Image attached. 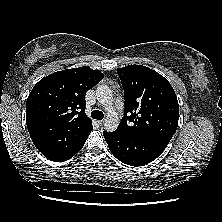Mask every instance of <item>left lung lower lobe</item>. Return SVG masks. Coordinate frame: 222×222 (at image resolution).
<instances>
[{
  "label": "left lung lower lobe",
  "mask_w": 222,
  "mask_h": 222,
  "mask_svg": "<svg viewBox=\"0 0 222 222\" xmlns=\"http://www.w3.org/2000/svg\"><path fill=\"white\" fill-rule=\"evenodd\" d=\"M111 153L130 166H143L155 160L170 140L156 137H133L117 131L103 132Z\"/></svg>",
  "instance_id": "0a47b994"
}]
</instances>
